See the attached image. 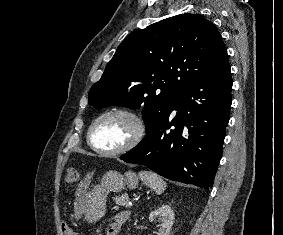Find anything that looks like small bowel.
I'll return each mask as SVG.
<instances>
[{
  "label": "small bowel",
  "mask_w": 283,
  "mask_h": 235,
  "mask_svg": "<svg viewBox=\"0 0 283 235\" xmlns=\"http://www.w3.org/2000/svg\"><path fill=\"white\" fill-rule=\"evenodd\" d=\"M130 213L128 211H122L114 216L113 221L106 228V235H119L123 224L129 219ZM71 235H77L71 233Z\"/></svg>",
  "instance_id": "c3829d8e"
}]
</instances>
